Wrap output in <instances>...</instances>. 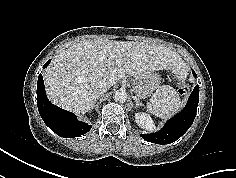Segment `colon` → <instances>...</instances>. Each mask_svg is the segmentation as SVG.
Instances as JSON below:
<instances>
[{
    "label": "colon",
    "instance_id": "5ec220e1",
    "mask_svg": "<svg viewBox=\"0 0 236 178\" xmlns=\"http://www.w3.org/2000/svg\"><path fill=\"white\" fill-rule=\"evenodd\" d=\"M171 78L178 81V91L180 94H186L189 92L191 88V83L189 81H184L176 74H171Z\"/></svg>",
    "mask_w": 236,
    "mask_h": 178
}]
</instances>
